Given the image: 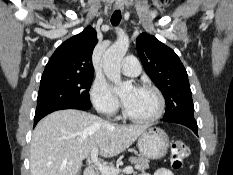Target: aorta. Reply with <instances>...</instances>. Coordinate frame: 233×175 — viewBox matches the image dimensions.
I'll return each instance as SVG.
<instances>
[{"instance_id":"1","label":"aorta","mask_w":233,"mask_h":175,"mask_svg":"<svg viewBox=\"0 0 233 175\" xmlns=\"http://www.w3.org/2000/svg\"><path fill=\"white\" fill-rule=\"evenodd\" d=\"M129 48L127 40H119L110 46L103 55V70L107 78L117 85L118 91L132 88L130 81L121 80V62Z\"/></svg>"}]
</instances>
